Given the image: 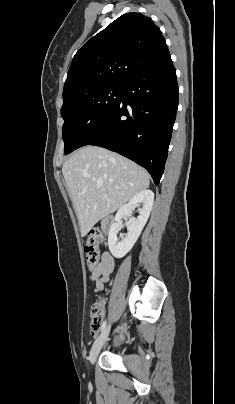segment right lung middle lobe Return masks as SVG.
Masks as SVG:
<instances>
[{
  "instance_id": "1",
  "label": "right lung middle lobe",
  "mask_w": 235,
  "mask_h": 404,
  "mask_svg": "<svg viewBox=\"0 0 235 404\" xmlns=\"http://www.w3.org/2000/svg\"><path fill=\"white\" fill-rule=\"evenodd\" d=\"M123 85H108L64 103L62 137L65 154L78 148L83 138L97 126L122 99Z\"/></svg>"
}]
</instances>
